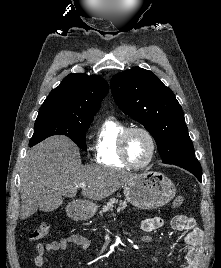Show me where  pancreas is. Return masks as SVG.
Instances as JSON below:
<instances>
[{
    "label": "pancreas",
    "mask_w": 221,
    "mask_h": 268,
    "mask_svg": "<svg viewBox=\"0 0 221 268\" xmlns=\"http://www.w3.org/2000/svg\"><path fill=\"white\" fill-rule=\"evenodd\" d=\"M114 204H119L118 210H123L127 207V202L122 201V200H117L115 198H112L109 200V202L106 203V205L103 206L102 211H100V214L107 212V211H112Z\"/></svg>",
    "instance_id": "obj_1"
}]
</instances>
